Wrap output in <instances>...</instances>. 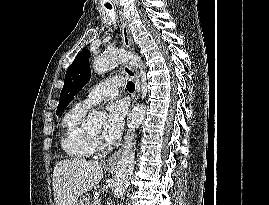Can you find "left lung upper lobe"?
Masks as SVG:
<instances>
[{
  "label": "left lung upper lobe",
  "instance_id": "obj_1",
  "mask_svg": "<svg viewBox=\"0 0 269 205\" xmlns=\"http://www.w3.org/2000/svg\"><path fill=\"white\" fill-rule=\"evenodd\" d=\"M88 50H83L75 57L66 71L64 86L60 94L57 115L70 103L91 77Z\"/></svg>",
  "mask_w": 269,
  "mask_h": 205
}]
</instances>
